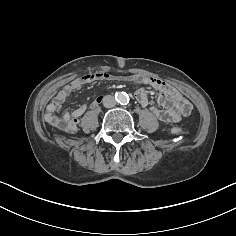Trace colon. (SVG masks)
<instances>
[{"label": "colon", "mask_w": 236, "mask_h": 236, "mask_svg": "<svg viewBox=\"0 0 236 236\" xmlns=\"http://www.w3.org/2000/svg\"><path fill=\"white\" fill-rule=\"evenodd\" d=\"M171 131L175 134L180 133V129H178V128H172Z\"/></svg>", "instance_id": "obj_1"}]
</instances>
